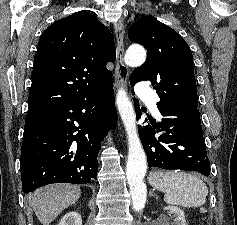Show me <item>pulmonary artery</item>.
<instances>
[{"label":"pulmonary artery","instance_id":"1","mask_svg":"<svg viewBox=\"0 0 237 225\" xmlns=\"http://www.w3.org/2000/svg\"><path fill=\"white\" fill-rule=\"evenodd\" d=\"M136 94L142 99V101L146 102L152 110L159 116V112L157 110L156 104L158 102V96L150 90L148 85L145 83H140L136 86L135 89Z\"/></svg>","mask_w":237,"mask_h":225}]
</instances>
